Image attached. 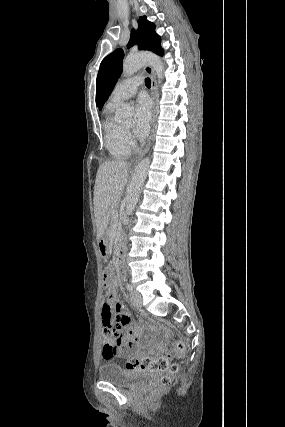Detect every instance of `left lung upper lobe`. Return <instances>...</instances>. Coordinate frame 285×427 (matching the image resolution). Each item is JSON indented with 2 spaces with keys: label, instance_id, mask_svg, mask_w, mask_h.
<instances>
[{
  "label": "left lung upper lobe",
  "instance_id": "obj_1",
  "mask_svg": "<svg viewBox=\"0 0 285 427\" xmlns=\"http://www.w3.org/2000/svg\"><path fill=\"white\" fill-rule=\"evenodd\" d=\"M138 44L140 50H149L163 56L160 36L155 32V25L149 22L146 16L138 20V29H132L128 48ZM124 51L119 48L106 56L99 68L96 80V105L101 109L111 94L121 72Z\"/></svg>",
  "mask_w": 285,
  "mask_h": 427
}]
</instances>
